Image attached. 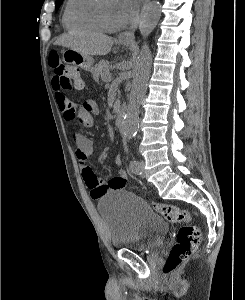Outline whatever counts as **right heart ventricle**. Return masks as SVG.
<instances>
[{"label":"right heart ventricle","mask_w":245,"mask_h":300,"mask_svg":"<svg viewBox=\"0 0 245 300\" xmlns=\"http://www.w3.org/2000/svg\"><path fill=\"white\" fill-rule=\"evenodd\" d=\"M96 0H68L63 22L65 27L73 32H101L94 13Z\"/></svg>","instance_id":"obj_1"}]
</instances>
